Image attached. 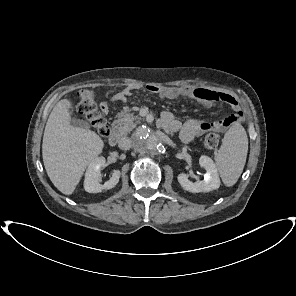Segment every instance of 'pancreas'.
Wrapping results in <instances>:
<instances>
[{"instance_id": "cf45deb5", "label": "pancreas", "mask_w": 296, "mask_h": 296, "mask_svg": "<svg viewBox=\"0 0 296 296\" xmlns=\"http://www.w3.org/2000/svg\"><path fill=\"white\" fill-rule=\"evenodd\" d=\"M140 120V117L134 116L133 114L124 110L117 115V119L114 120L113 126L121 135H126L137 126Z\"/></svg>"}]
</instances>
